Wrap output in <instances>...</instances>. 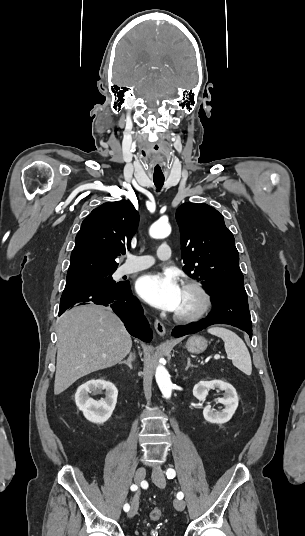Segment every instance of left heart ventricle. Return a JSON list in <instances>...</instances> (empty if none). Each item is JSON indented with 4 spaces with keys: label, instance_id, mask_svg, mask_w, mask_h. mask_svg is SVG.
I'll return each instance as SVG.
<instances>
[{
    "label": "left heart ventricle",
    "instance_id": "obj_1",
    "mask_svg": "<svg viewBox=\"0 0 305 536\" xmlns=\"http://www.w3.org/2000/svg\"><path fill=\"white\" fill-rule=\"evenodd\" d=\"M201 300L199 295L190 289L182 288L181 302L176 311L190 312L199 308Z\"/></svg>",
    "mask_w": 305,
    "mask_h": 536
}]
</instances>
